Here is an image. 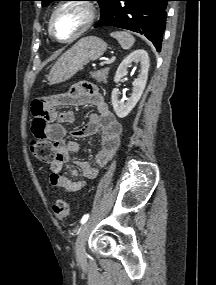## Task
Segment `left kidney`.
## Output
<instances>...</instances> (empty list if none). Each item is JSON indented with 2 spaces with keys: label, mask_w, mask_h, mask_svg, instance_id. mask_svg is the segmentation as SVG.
<instances>
[{
  "label": "left kidney",
  "mask_w": 216,
  "mask_h": 285,
  "mask_svg": "<svg viewBox=\"0 0 216 285\" xmlns=\"http://www.w3.org/2000/svg\"><path fill=\"white\" fill-rule=\"evenodd\" d=\"M140 63V74L138 78L133 81V92L130 98H128L127 102L119 100L118 89H113L111 100L113 109L116 115L119 118L126 117L132 109L136 106L137 102L140 100L142 93L145 89L147 77H148V69L150 66L148 53L143 49H138L130 53L119 65L114 81L118 83L122 77L127 75V69L130 67L131 63Z\"/></svg>",
  "instance_id": "5707ae66"
}]
</instances>
